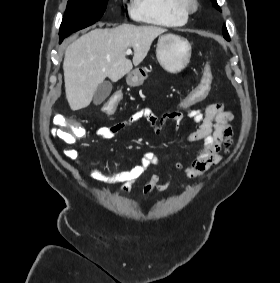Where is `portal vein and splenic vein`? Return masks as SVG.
Returning <instances> with one entry per match:
<instances>
[{
	"instance_id": "1",
	"label": "portal vein and splenic vein",
	"mask_w": 280,
	"mask_h": 283,
	"mask_svg": "<svg viewBox=\"0 0 280 283\" xmlns=\"http://www.w3.org/2000/svg\"><path fill=\"white\" fill-rule=\"evenodd\" d=\"M131 52V49H127V52L126 53H130Z\"/></svg>"
}]
</instances>
